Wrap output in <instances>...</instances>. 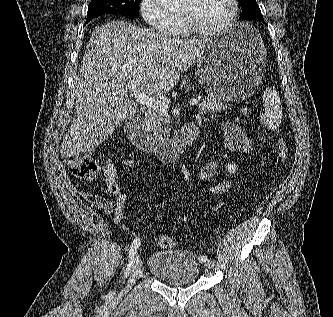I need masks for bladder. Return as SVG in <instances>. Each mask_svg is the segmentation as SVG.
<instances>
[{
  "mask_svg": "<svg viewBox=\"0 0 333 317\" xmlns=\"http://www.w3.org/2000/svg\"><path fill=\"white\" fill-rule=\"evenodd\" d=\"M147 270L155 278L172 285H190L200 276L198 256L191 250L171 249L150 254Z\"/></svg>",
  "mask_w": 333,
  "mask_h": 317,
  "instance_id": "obj_1",
  "label": "bladder"
}]
</instances>
